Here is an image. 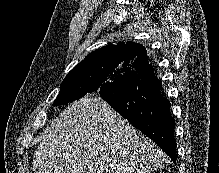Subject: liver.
Returning <instances> with one entry per match:
<instances>
[{
	"label": "liver",
	"mask_w": 219,
	"mask_h": 173,
	"mask_svg": "<svg viewBox=\"0 0 219 173\" xmlns=\"http://www.w3.org/2000/svg\"><path fill=\"white\" fill-rule=\"evenodd\" d=\"M167 161L101 97L88 95L44 131L32 167L34 173H151Z\"/></svg>",
	"instance_id": "6515ba94"
}]
</instances>
